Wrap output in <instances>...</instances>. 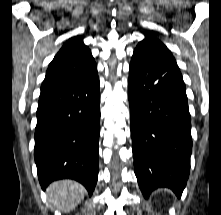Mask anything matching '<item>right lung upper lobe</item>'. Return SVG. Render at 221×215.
<instances>
[{
    "label": "right lung upper lobe",
    "instance_id": "obj_1",
    "mask_svg": "<svg viewBox=\"0 0 221 215\" xmlns=\"http://www.w3.org/2000/svg\"><path fill=\"white\" fill-rule=\"evenodd\" d=\"M97 70L90 49L80 36L70 38L50 63L40 96L66 87Z\"/></svg>",
    "mask_w": 221,
    "mask_h": 215
}]
</instances>
